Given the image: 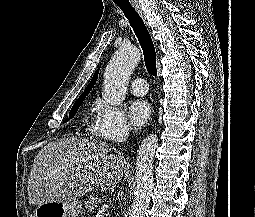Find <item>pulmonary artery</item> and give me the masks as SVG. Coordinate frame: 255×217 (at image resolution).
I'll return each instance as SVG.
<instances>
[{"instance_id":"obj_1","label":"pulmonary artery","mask_w":255,"mask_h":217,"mask_svg":"<svg viewBox=\"0 0 255 217\" xmlns=\"http://www.w3.org/2000/svg\"><path fill=\"white\" fill-rule=\"evenodd\" d=\"M130 91L136 96H143L148 92V85L144 78H135L130 84Z\"/></svg>"}]
</instances>
